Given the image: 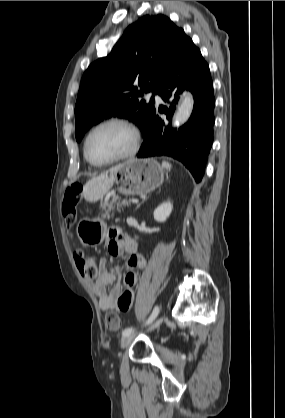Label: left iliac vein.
Wrapping results in <instances>:
<instances>
[{
  "label": "left iliac vein",
  "mask_w": 285,
  "mask_h": 418,
  "mask_svg": "<svg viewBox=\"0 0 285 418\" xmlns=\"http://www.w3.org/2000/svg\"><path fill=\"white\" fill-rule=\"evenodd\" d=\"M163 319L164 318H159L158 320H156L153 324H151L149 326V329L148 330L149 331H152V330L158 328L162 324ZM134 337H135V334H133V333H131V334L123 337V339L120 342V347L121 348L128 347L131 344V342L133 341Z\"/></svg>",
  "instance_id": "obj_1"
}]
</instances>
